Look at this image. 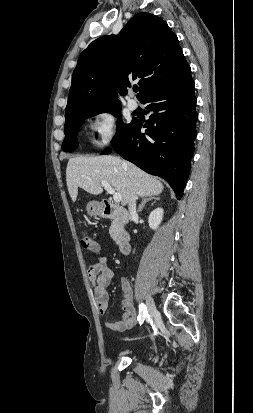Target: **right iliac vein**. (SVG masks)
Masks as SVG:
<instances>
[{
    "label": "right iliac vein",
    "mask_w": 253,
    "mask_h": 413,
    "mask_svg": "<svg viewBox=\"0 0 253 413\" xmlns=\"http://www.w3.org/2000/svg\"><path fill=\"white\" fill-rule=\"evenodd\" d=\"M146 306H147L150 316L153 317L156 312V306H155L154 300L151 297H147Z\"/></svg>",
    "instance_id": "right-iliac-vein-1"
}]
</instances>
